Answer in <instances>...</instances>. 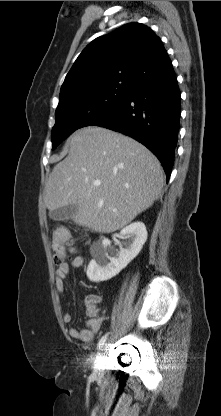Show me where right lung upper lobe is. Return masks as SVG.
<instances>
[{"instance_id":"1","label":"right lung upper lobe","mask_w":221,"mask_h":416,"mask_svg":"<svg viewBox=\"0 0 221 416\" xmlns=\"http://www.w3.org/2000/svg\"><path fill=\"white\" fill-rule=\"evenodd\" d=\"M171 69L160 38L143 24L129 23L82 51L66 75L58 105L111 88L134 90L165 79Z\"/></svg>"}]
</instances>
